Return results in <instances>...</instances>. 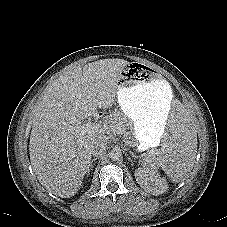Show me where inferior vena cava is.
<instances>
[{
	"instance_id": "1",
	"label": "inferior vena cava",
	"mask_w": 227,
	"mask_h": 227,
	"mask_svg": "<svg viewBox=\"0 0 227 227\" xmlns=\"http://www.w3.org/2000/svg\"><path fill=\"white\" fill-rule=\"evenodd\" d=\"M106 143L104 140H97L91 146V154L94 157L102 156L106 150Z\"/></svg>"
}]
</instances>
